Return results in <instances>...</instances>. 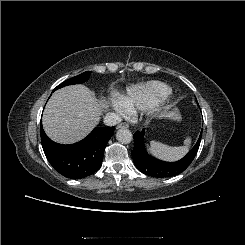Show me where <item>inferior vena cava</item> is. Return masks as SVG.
Returning <instances> with one entry per match:
<instances>
[{
	"label": "inferior vena cava",
	"mask_w": 245,
	"mask_h": 245,
	"mask_svg": "<svg viewBox=\"0 0 245 245\" xmlns=\"http://www.w3.org/2000/svg\"><path fill=\"white\" fill-rule=\"evenodd\" d=\"M121 122V117L120 115L116 113H108L104 117V123L107 126H115Z\"/></svg>",
	"instance_id": "602c4592"
}]
</instances>
